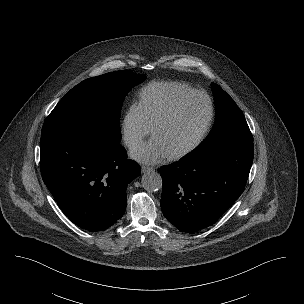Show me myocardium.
<instances>
[{
	"mask_svg": "<svg viewBox=\"0 0 304 304\" xmlns=\"http://www.w3.org/2000/svg\"><path fill=\"white\" fill-rule=\"evenodd\" d=\"M194 97H202L207 101V104H208L207 119L205 121V124H204L201 132L196 137V139L191 144L186 146L185 148L170 154L171 159H178V158L187 156L188 154H190L194 150H196L203 143V141L205 140V138L207 137V135L211 129V126H212V123L214 120L215 108H214V103H213L212 98L207 93L200 91V90H193L189 93H186V94L182 95L181 97H179L178 99H176L170 105V107L152 125L151 132H152V135H154L155 131L162 124L167 122L177 112V110L180 108V106L184 102H186L187 100L194 98Z\"/></svg>",
	"mask_w": 304,
	"mask_h": 304,
	"instance_id": "obj_1",
	"label": "myocardium"
}]
</instances>
